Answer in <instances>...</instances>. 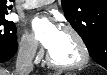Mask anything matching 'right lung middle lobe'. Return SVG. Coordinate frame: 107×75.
Masks as SVG:
<instances>
[{"label":"right lung middle lobe","mask_w":107,"mask_h":75,"mask_svg":"<svg viewBox=\"0 0 107 75\" xmlns=\"http://www.w3.org/2000/svg\"><path fill=\"white\" fill-rule=\"evenodd\" d=\"M16 27L13 22L0 17V46L13 45L16 43Z\"/></svg>","instance_id":"obj_1"}]
</instances>
